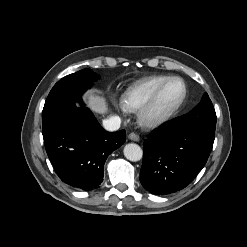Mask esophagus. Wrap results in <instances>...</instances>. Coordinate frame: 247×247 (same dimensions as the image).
<instances>
[{
  "label": "esophagus",
  "mask_w": 247,
  "mask_h": 247,
  "mask_svg": "<svg viewBox=\"0 0 247 247\" xmlns=\"http://www.w3.org/2000/svg\"><path fill=\"white\" fill-rule=\"evenodd\" d=\"M128 138L135 142H138L140 140V137L136 133H130L128 135Z\"/></svg>",
  "instance_id": "1"
}]
</instances>
